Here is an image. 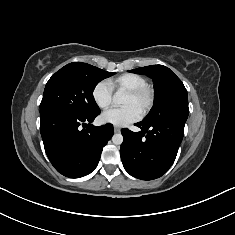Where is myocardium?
<instances>
[{"label": "myocardium", "instance_id": "1", "mask_svg": "<svg viewBox=\"0 0 235 235\" xmlns=\"http://www.w3.org/2000/svg\"><path fill=\"white\" fill-rule=\"evenodd\" d=\"M126 94L135 97V98H143L144 104L140 111L141 116H145L153 107L154 100H155V94L154 90L148 86L144 85L141 87L129 89L126 91Z\"/></svg>", "mask_w": 235, "mask_h": 235}]
</instances>
